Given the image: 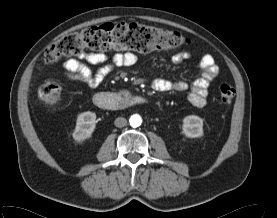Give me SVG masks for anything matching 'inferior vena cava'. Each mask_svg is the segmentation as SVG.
Listing matches in <instances>:
<instances>
[{
	"mask_svg": "<svg viewBox=\"0 0 277 218\" xmlns=\"http://www.w3.org/2000/svg\"><path fill=\"white\" fill-rule=\"evenodd\" d=\"M126 124H127V120L124 117H118L114 121V125L119 128L126 126Z\"/></svg>",
	"mask_w": 277,
	"mask_h": 218,
	"instance_id": "1",
	"label": "inferior vena cava"
}]
</instances>
